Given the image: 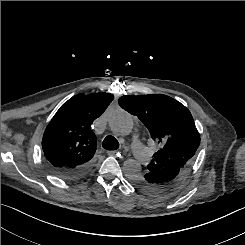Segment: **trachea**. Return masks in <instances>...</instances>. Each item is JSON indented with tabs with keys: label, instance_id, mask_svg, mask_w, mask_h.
I'll return each instance as SVG.
<instances>
[{
	"label": "trachea",
	"instance_id": "3493384b",
	"mask_svg": "<svg viewBox=\"0 0 245 245\" xmlns=\"http://www.w3.org/2000/svg\"><path fill=\"white\" fill-rule=\"evenodd\" d=\"M102 146L106 150H117L119 148V142L115 137L109 135L103 140Z\"/></svg>",
	"mask_w": 245,
	"mask_h": 245
}]
</instances>
